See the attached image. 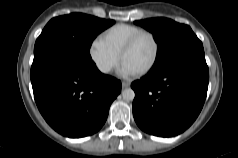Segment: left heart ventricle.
<instances>
[{
	"mask_svg": "<svg viewBox=\"0 0 238 158\" xmlns=\"http://www.w3.org/2000/svg\"><path fill=\"white\" fill-rule=\"evenodd\" d=\"M154 51L155 47L152 39L149 36H143L124 56L123 62L138 72L150 63Z\"/></svg>",
	"mask_w": 238,
	"mask_h": 158,
	"instance_id": "b2bd125f",
	"label": "left heart ventricle"
}]
</instances>
